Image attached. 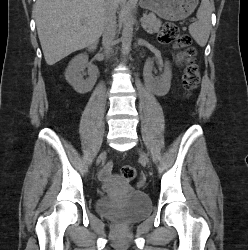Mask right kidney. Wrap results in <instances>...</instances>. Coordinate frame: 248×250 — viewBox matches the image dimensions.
Masks as SVG:
<instances>
[{"mask_svg":"<svg viewBox=\"0 0 248 250\" xmlns=\"http://www.w3.org/2000/svg\"><path fill=\"white\" fill-rule=\"evenodd\" d=\"M86 68H88V77L84 79L83 74ZM65 78L77 93L85 94L93 89L98 78V69L88 63L86 54H79L69 63Z\"/></svg>","mask_w":248,"mask_h":250,"instance_id":"ca27d5eb","label":"right kidney"}]
</instances>
